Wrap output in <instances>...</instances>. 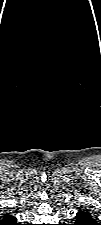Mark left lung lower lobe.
Instances as JSON below:
<instances>
[{
  "mask_svg": "<svg viewBox=\"0 0 101 225\" xmlns=\"http://www.w3.org/2000/svg\"><path fill=\"white\" fill-rule=\"evenodd\" d=\"M77 219L72 225H97V222L87 212H80L76 215Z\"/></svg>",
  "mask_w": 101,
  "mask_h": 225,
  "instance_id": "0a47b994",
  "label": "left lung lower lobe"
}]
</instances>
